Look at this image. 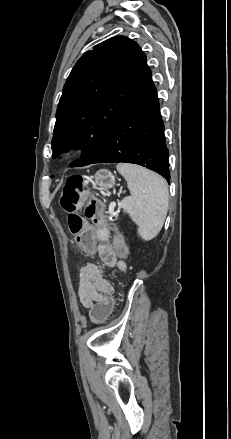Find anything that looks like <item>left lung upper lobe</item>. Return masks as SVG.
I'll return each instance as SVG.
<instances>
[{
    "label": "left lung upper lobe",
    "mask_w": 231,
    "mask_h": 439,
    "mask_svg": "<svg viewBox=\"0 0 231 439\" xmlns=\"http://www.w3.org/2000/svg\"><path fill=\"white\" fill-rule=\"evenodd\" d=\"M150 69L137 43L118 36L87 51L63 87L54 127L53 156L73 146L83 149L71 167L88 165L100 150Z\"/></svg>",
    "instance_id": "5c2ea615"
}]
</instances>
